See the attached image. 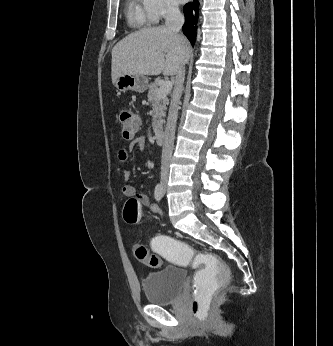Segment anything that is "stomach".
<instances>
[{
  "instance_id": "stomach-1",
  "label": "stomach",
  "mask_w": 333,
  "mask_h": 346,
  "mask_svg": "<svg viewBox=\"0 0 333 346\" xmlns=\"http://www.w3.org/2000/svg\"><path fill=\"white\" fill-rule=\"evenodd\" d=\"M119 92L128 90L143 93L148 88V79L143 75L123 74L114 83Z\"/></svg>"
}]
</instances>
